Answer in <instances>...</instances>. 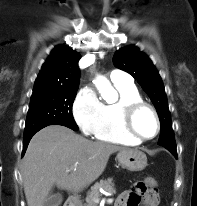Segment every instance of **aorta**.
Returning a JSON list of instances; mask_svg holds the SVG:
<instances>
[{"label":"aorta","instance_id":"1","mask_svg":"<svg viewBox=\"0 0 197 206\" xmlns=\"http://www.w3.org/2000/svg\"><path fill=\"white\" fill-rule=\"evenodd\" d=\"M101 96L108 102L113 101L115 98V90L111 86L110 82L103 76H98L94 81Z\"/></svg>","mask_w":197,"mask_h":206}]
</instances>
